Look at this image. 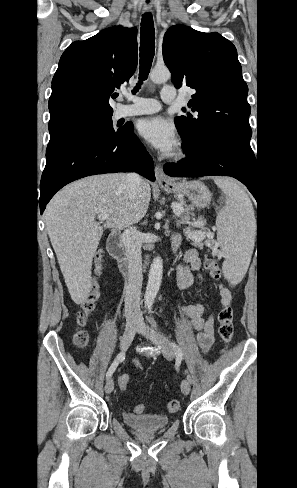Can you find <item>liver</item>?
Wrapping results in <instances>:
<instances>
[{
    "mask_svg": "<svg viewBox=\"0 0 297 488\" xmlns=\"http://www.w3.org/2000/svg\"><path fill=\"white\" fill-rule=\"evenodd\" d=\"M125 173L95 175L59 191L44 213L46 229L72 300L83 303L91 290V267L103 228H123L146 214L151 188L144 182L130 197ZM108 211L103 226L96 216Z\"/></svg>",
    "mask_w": 297,
    "mask_h": 488,
    "instance_id": "liver-1",
    "label": "liver"
}]
</instances>
